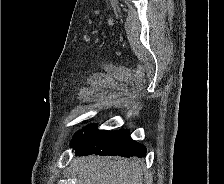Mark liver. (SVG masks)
<instances>
[{
	"label": "liver",
	"mask_w": 224,
	"mask_h": 184,
	"mask_svg": "<svg viewBox=\"0 0 224 184\" xmlns=\"http://www.w3.org/2000/svg\"><path fill=\"white\" fill-rule=\"evenodd\" d=\"M77 184H142L138 159L89 156L73 162Z\"/></svg>",
	"instance_id": "6515ba94"
}]
</instances>
